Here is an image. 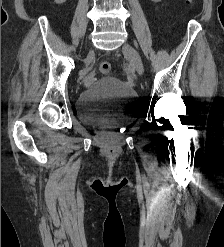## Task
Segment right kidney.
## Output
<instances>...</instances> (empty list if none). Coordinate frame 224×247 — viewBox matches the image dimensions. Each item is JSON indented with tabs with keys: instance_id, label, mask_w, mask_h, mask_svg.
Segmentation results:
<instances>
[{
	"instance_id": "ca27d5eb",
	"label": "right kidney",
	"mask_w": 224,
	"mask_h": 247,
	"mask_svg": "<svg viewBox=\"0 0 224 247\" xmlns=\"http://www.w3.org/2000/svg\"><path fill=\"white\" fill-rule=\"evenodd\" d=\"M54 2H56V4H63V2H66V0H54Z\"/></svg>"
}]
</instances>
